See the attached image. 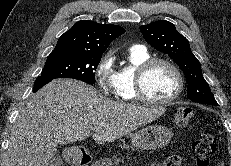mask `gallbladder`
<instances>
[{
	"label": "gallbladder",
	"mask_w": 231,
	"mask_h": 166,
	"mask_svg": "<svg viewBox=\"0 0 231 166\" xmlns=\"http://www.w3.org/2000/svg\"><path fill=\"white\" fill-rule=\"evenodd\" d=\"M56 165H59V166L62 165V161H61L60 158H54V159L50 162V165H49V166H56Z\"/></svg>",
	"instance_id": "gallbladder-1"
}]
</instances>
